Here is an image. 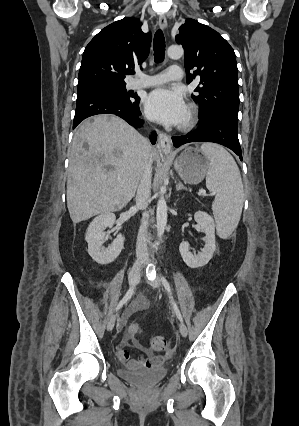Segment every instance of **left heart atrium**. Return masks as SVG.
<instances>
[{
    "label": "left heart atrium",
    "mask_w": 299,
    "mask_h": 426,
    "mask_svg": "<svg viewBox=\"0 0 299 426\" xmlns=\"http://www.w3.org/2000/svg\"><path fill=\"white\" fill-rule=\"evenodd\" d=\"M147 117L165 125H180L187 117V106L178 91L158 88L151 91L144 101Z\"/></svg>",
    "instance_id": "obj_1"
}]
</instances>
